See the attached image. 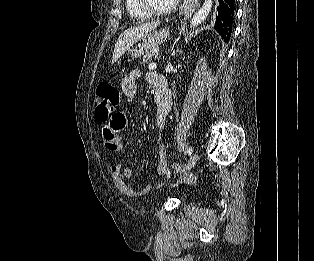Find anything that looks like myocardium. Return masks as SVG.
I'll return each mask as SVG.
<instances>
[{
  "mask_svg": "<svg viewBox=\"0 0 314 261\" xmlns=\"http://www.w3.org/2000/svg\"><path fill=\"white\" fill-rule=\"evenodd\" d=\"M179 0H173V2L166 8L159 9L152 5L150 0H138L139 6L148 14L153 16H166L175 10Z\"/></svg>",
  "mask_w": 314,
  "mask_h": 261,
  "instance_id": "f54148a6",
  "label": "myocardium"
}]
</instances>
